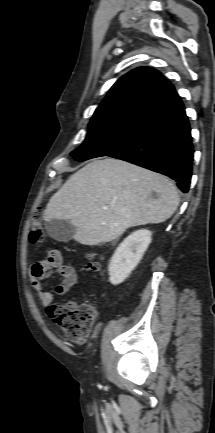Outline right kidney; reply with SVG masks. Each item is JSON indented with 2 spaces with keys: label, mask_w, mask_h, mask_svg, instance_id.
Returning a JSON list of instances; mask_svg holds the SVG:
<instances>
[{
  "label": "right kidney",
  "mask_w": 215,
  "mask_h": 433,
  "mask_svg": "<svg viewBox=\"0 0 215 433\" xmlns=\"http://www.w3.org/2000/svg\"><path fill=\"white\" fill-rule=\"evenodd\" d=\"M152 232L140 229L129 235L115 250L108 267L110 282L122 283L141 261L151 242Z\"/></svg>",
  "instance_id": "1"
}]
</instances>
